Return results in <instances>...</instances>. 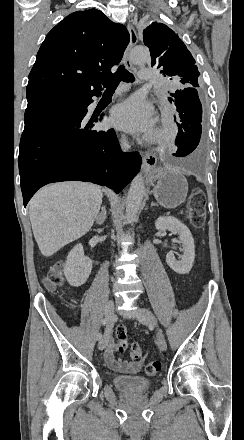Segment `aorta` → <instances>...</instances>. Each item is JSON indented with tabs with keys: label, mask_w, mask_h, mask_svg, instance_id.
Instances as JSON below:
<instances>
[{
	"label": "aorta",
	"mask_w": 244,
	"mask_h": 440,
	"mask_svg": "<svg viewBox=\"0 0 244 440\" xmlns=\"http://www.w3.org/2000/svg\"><path fill=\"white\" fill-rule=\"evenodd\" d=\"M150 58V54L145 47H135L130 54V60L135 64L146 62ZM145 185L144 178L141 173L137 174L128 191L126 201V222L129 224L133 222L138 214L139 208L144 197Z\"/></svg>",
	"instance_id": "aorta-1"
}]
</instances>
